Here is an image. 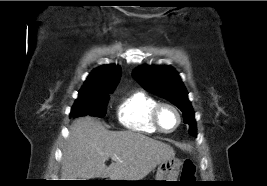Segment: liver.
Instances as JSON below:
<instances>
[{"instance_id": "6515ba94", "label": "liver", "mask_w": 267, "mask_h": 186, "mask_svg": "<svg viewBox=\"0 0 267 186\" xmlns=\"http://www.w3.org/2000/svg\"><path fill=\"white\" fill-rule=\"evenodd\" d=\"M174 156L173 148L161 141L133 131H108L96 119L81 117L74 120L69 129L61 178L138 181L163 160ZM108 158L112 159L109 167L105 164Z\"/></svg>"}]
</instances>
